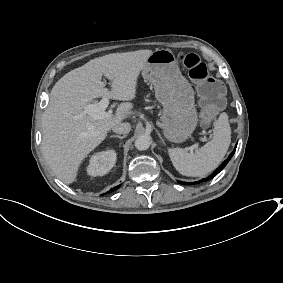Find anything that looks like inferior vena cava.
I'll return each mask as SVG.
<instances>
[{
	"instance_id": "obj_1",
	"label": "inferior vena cava",
	"mask_w": 283,
	"mask_h": 283,
	"mask_svg": "<svg viewBox=\"0 0 283 283\" xmlns=\"http://www.w3.org/2000/svg\"><path fill=\"white\" fill-rule=\"evenodd\" d=\"M131 130V126L129 123H121L112 128V131L115 133L126 134Z\"/></svg>"
}]
</instances>
